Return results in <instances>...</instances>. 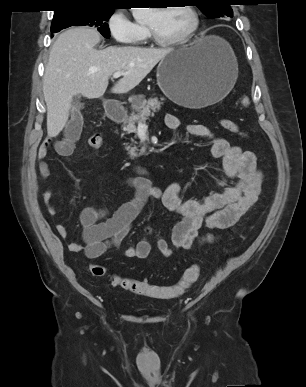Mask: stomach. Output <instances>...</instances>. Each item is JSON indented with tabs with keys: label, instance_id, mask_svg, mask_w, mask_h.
I'll return each instance as SVG.
<instances>
[{
	"label": "stomach",
	"instance_id": "stomach-1",
	"mask_svg": "<svg viewBox=\"0 0 306 387\" xmlns=\"http://www.w3.org/2000/svg\"><path fill=\"white\" fill-rule=\"evenodd\" d=\"M238 66L230 45L202 36L168 53L157 67V84L173 102L203 108L222 100L234 87Z\"/></svg>",
	"mask_w": 306,
	"mask_h": 387
}]
</instances>
